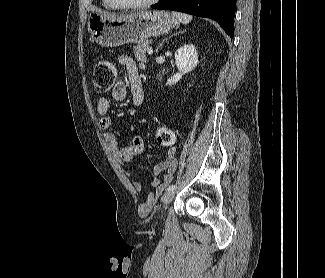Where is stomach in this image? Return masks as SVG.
<instances>
[{
	"label": "stomach",
	"instance_id": "1",
	"mask_svg": "<svg viewBox=\"0 0 325 278\" xmlns=\"http://www.w3.org/2000/svg\"><path fill=\"white\" fill-rule=\"evenodd\" d=\"M177 24L176 17L166 11H140L124 16L92 13L88 19V31L99 45L117 47L142 43L150 37L167 33Z\"/></svg>",
	"mask_w": 325,
	"mask_h": 278
}]
</instances>
